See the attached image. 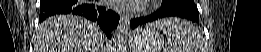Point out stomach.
<instances>
[{"label":"stomach","mask_w":261,"mask_h":52,"mask_svg":"<svg viewBox=\"0 0 261 52\" xmlns=\"http://www.w3.org/2000/svg\"><path fill=\"white\" fill-rule=\"evenodd\" d=\"M133 52H158L162 45L160 34L151 28H139L130 37Z\"/></svg>","instance_id":"1"}]
</instances>
